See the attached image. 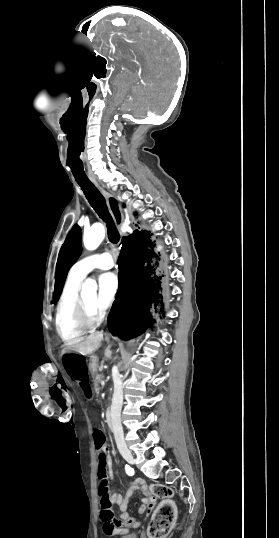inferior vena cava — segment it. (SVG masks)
Listing matches in <instances>:
<instances>
[{
    "label": "inferior vena cava",
    "mask_w": 279,
    "mask_h": 538,
    "mask_svg": "<svg viewBox=\"0 0 279 538\" xmlns=\"http://www.w3.org/2000/svg\"><path fill=\"white\" fill-rule=\"evenodd\" d=\"M117 371V367L113 368V371ZM118 372V371H117ZM118 379L114 380V396L112 399V405H111V418H112V425L115 435V440L117 443V447L122 454L123 458L127 459V457L132 456L131 452L128 450L127 445L124 440V433L121 425V406L123 402V392H122V382L120 380V375H117Z\"/></svg>",
    "instance_id": "602c4592"
}]
</instances>
